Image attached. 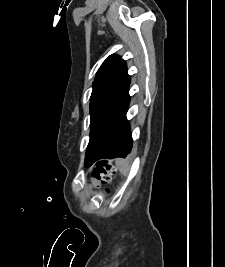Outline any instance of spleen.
<instances>
[{
    "label": "spleen",
    "instance_id": "3e777b00",
    "mask_svg": "<svg viewBox=\"0 0 225 267\" xmlns=\"http://www.w3.org/2000/svg\"><path fill=\"white\" fill-rule=\"evenodd\" d=\"M116 166L123 175H127L130 169L129 163L126 160L118 159Z\"/></svg>",
    "mask_w": 225,
    "mask_h": 267
}]
</instances>
